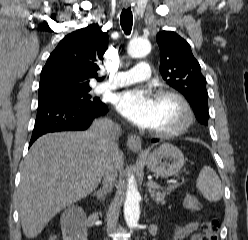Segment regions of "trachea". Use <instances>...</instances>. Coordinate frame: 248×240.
I'll use <instances>...</instances> for the list:
<instances>
[{
    "instance_id": "3493384b",
    "label": "trachea",
    "mask_w": 248,
    "mask_h": 240,
    "mask_svg": "<svg viewBox=\"0 0 248 240\" xmlns=\"http://www.w3.org/2000/svg\"><path fill=\"white\" fill-rule=\"evenodd\" d=\"M121 27L126 35H129L133 25V15L131 8L123 9L120 16Z\"/></svg>"
}]
</instances>
